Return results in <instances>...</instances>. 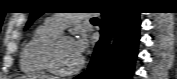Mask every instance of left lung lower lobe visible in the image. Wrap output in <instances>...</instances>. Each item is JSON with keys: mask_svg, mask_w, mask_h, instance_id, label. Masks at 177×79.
Here are the masks:
<instances>
[{"mask_svg": "<svg viewBox=\"0 0 177 79\" xmlns=\"http://www.w3.org/2000/svg\"><path fill=\"white\" fill-rule=\"evenodd\" d=\"M114 21L103 12L100 22L101 39L95 47L86 72L76 79H131L139 43V12L114 13ZM115 25V42L107 52L112 25Z\"/></svg>", "mask_w": 177, "mask_h": 79, "instance_id": "obj_1", "label": "left lung lower lobe"}]
</instances>
